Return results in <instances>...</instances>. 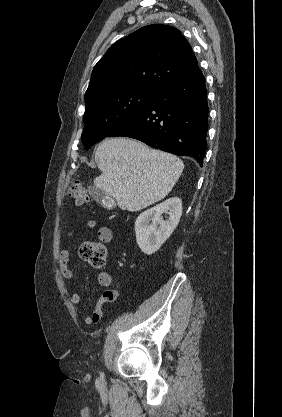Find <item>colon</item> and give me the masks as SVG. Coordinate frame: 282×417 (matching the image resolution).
Masks as SVG:
<instances>
[{"label":"colon","mask_w":282,"mask_h":417,"mask_svg":"<svg viewBox=\"0 0 282 417\" xmlns=\"http://www.w3.org/2000/svg\"><path fill=\"white\" fill-rule=\"evenodd\" d=\"M69 193L77 203L86 202V190L81 183H73L69 188ZM79 256L94 267H103L107 261V248L100 241L86 242L81 245Z\"/></svg>","instance_id":"5ec220e1"}]
</instances>
